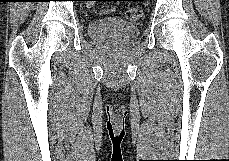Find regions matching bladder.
<instances>
[{
	"instance_id": "31cf9c89",
	"label": "bladder",
	"mask_w": 229,
	"mask_h": 161,
	"mask_svg": "<svg viewBox=\"0 0 229 161\" xmlns=\"http://www.w3.org/2000/svg\"><path fill=\"white\" fill-rule=\"evenodd\" d=\"M88 32L95 39L113 37L121 40H132L138 36L139 29L136 24L120 18L104 17L90 22Z\"/></svg>"
}]
</instances>
